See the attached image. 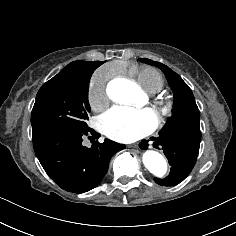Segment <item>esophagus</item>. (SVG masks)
I'll list each match as a JSON object with an SVG mask.
<instances>
[{"mask_svg": "<svg viewBox=\"0 0 236 236\" xmlns=\"http://www.w3.org/2000/svg\"><path fill=\"white\" fill-rule=\"evenodd\" d=\"M128 147H130V148H131V147H135V145H129Z\"/></svg>", "mask_w": 236, "mask_h": 236, "instance_id": "1", "label": "esophagus"}]
</instances>
